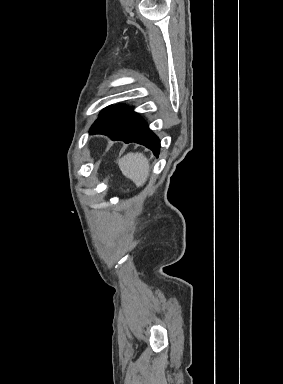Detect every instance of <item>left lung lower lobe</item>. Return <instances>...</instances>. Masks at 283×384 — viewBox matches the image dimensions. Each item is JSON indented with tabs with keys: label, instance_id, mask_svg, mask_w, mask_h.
<instances>
[{
	"label": "left lung lower lobe",
	"instance_id": "1",
	"mask_svg": "<svg viewBox=\"0 0 283 384\" xmlns=\"http://www.w3.org/2000/svg\"><path fill=\"white\" fill-rule=\"evenodd\" d=\"M90 134H104L125 143L136 142L151 149L157 157L159 155V139L137 113L123 105H115L104 112L90 128Z\"/></svg>",
	"mask_w": 283,
	"mask_h": 384
}]
</instances>
